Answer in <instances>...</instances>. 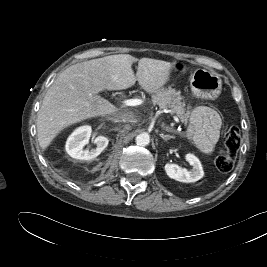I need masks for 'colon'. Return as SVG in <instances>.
Instances as JSON below:
<instances>
[{"instance_id": "obj_1", "label": "colon", "mask_w": 267, "mask_h": 267, "mask_svg": "<svg viewBox=\"0 0 267 267\" xmlns=\"http://www.w3.org/2000/svg\"><path fill=\"white\" fill-rule=\"evenodd\" d=\"M240 131L231 126L224 135V150L216 158V167L220 172L227 173L235 164L236 155L240 146Z\"/></svg>"}]
</instances>
